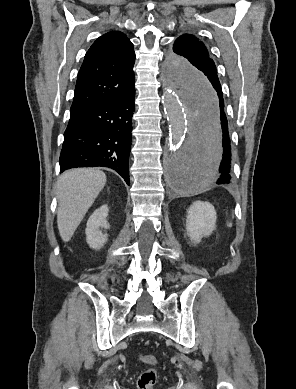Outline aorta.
<instances>
[{
    "instance_id": "aorta-1",
    "label": "aorta",
    "mask_w": 296,
    "mask_h": 389,
    "mask_svg": "<svg viewBox=\"0 0 296 389\" xmlns=\"http://www.w3.org/2000/svg\"><path fill=\"white\" fill-rule=\"evenodd\" d=\"M167 58L163 106L169 123L166 146L168 189L196 193L208 189L221 161L217 129L218 91L188 61Z\"/></svg>"
}]
</instances>
